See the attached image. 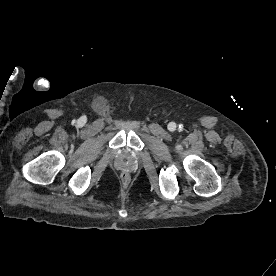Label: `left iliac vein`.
Instances as JSON below:
<instances>
[{
  "mask_svg": "<svg viewBox=\"0 0 276 276\" xmlns=\"http://www.w3.org/2000/svg\"><path fill=\"white\" fill-rule=\"evenodd\" d=\"M169 129H170L171 131H174V130L176 129V124H175V123H170Z\"/></svg>",
  "mask_w": 276,
  "mask_h": 276,
  "instance_id": "4c4485c4",
  "label": "left iliac vein"
}]
</instances>
